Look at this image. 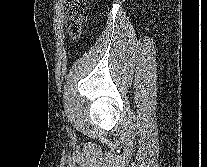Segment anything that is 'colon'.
<instances>
[{"mask_svg":"<svg viewBox=\"0 0 207 167\" xmlns=\"http://www.w3.org/2000/svg\"><path fill=\"white\" fill-rule=\"evenodd\" d=\"M91 0H69L67 8L68 32L72 37L81 34V26L86 17Z\"/></svg>","mask_w":207,"mask_h":167,"instance_id":"obj_1","label":"colon"}]
</instances>
